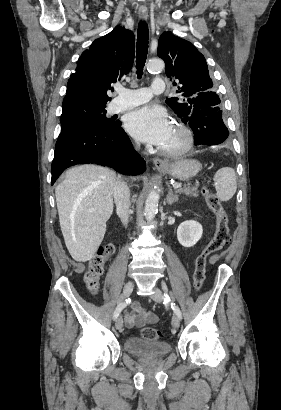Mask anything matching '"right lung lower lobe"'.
Instances as JSON below:
<instances>
[{
	"mask_svg": "<svg viewBox=\"0 0 281 410\" xmlns=\"http://www.w3.org/2000/svg\"><path fill=\"white\" fill-rule=\"evenodd\" d=\"M120 126L121 122H116L105 128H85L58 139L51 184L66 168L85 163L109 166L125 175L143 173L146 163L135 153L128 135Z\"/></svg>",
	"mask_w": 281,
	"mask_h": 410,
	"instance_id": "1",
	"label": "right lung lower lobe"
}]
</instances>
